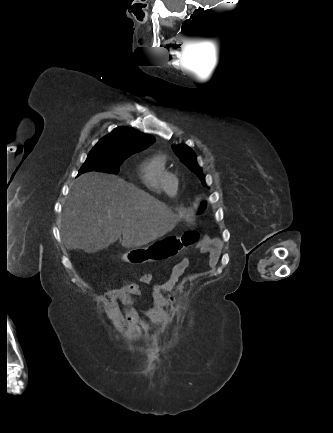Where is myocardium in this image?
Returning <instances> with one entry per match:
<instances>
[{
    "mask_svg": "<svg viewBox=\"0 0 333 433\" xmlns=\"http://www.w3.org/2000/svg\"><path fill=\"white\" fill-rule=\"evenodd\" d=\"M171 180H174V184H175V186H176V184L178 183V177H177L176 174H174V173H172V172L168 173V174L164 177V180H163V184H164L165 191H166L169 195H172L173 192H174V190H172V189L170 188V181H171ZM174 189H175V187H174Z\"/></svg>",
    "mask_w": 333,
    "mask_h": 433,
    "instance_id": "obj_1",
    "label": "myocardium"
}]
</instances>
